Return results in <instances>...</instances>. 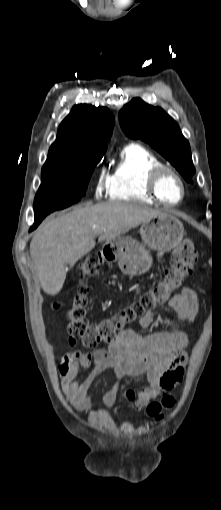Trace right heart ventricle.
<instances>
[{"label": "right heart ventricle", "mask_w": 221, "mask_h": 510, "mask_svg": "<svg viewBox=\"0 0 221 510\" xmlns=\"http://www.w3.org/2000/svg\"><path fill=\"white\" fill-rule=\"evenodd\" d=\"M160 165H163L162 160L143 145H126L108 179L109 199L154 203L146 181L148 173Z\"/></svg>", "instance_id": "obj_1"}]
</instances>
